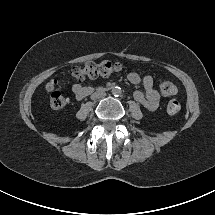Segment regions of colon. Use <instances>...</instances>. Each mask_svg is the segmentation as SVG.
I'll use <instances>...</instances> for the list:
<instances>
[{
    "instance_id": "5ec220e1",
    "label": "colon",
    "mask_w": 215,
    "mask_h": 215,
    "mask_svg": "<svg viewBox=\"0 0 215 215\" xmlns=\"http://www.w3.org/2000/svg\"><path fill=\"white\" fill-rule=\"evenodd\" d=\"M119 63L102 62L88 63L82 67L73 69L72 74L77 80H84L87 77H107L120 71ZM46 89L50 92V105L54 109H61L65 106L66 100L59 90V85L56 80H49L46 84ZM161 93L165 95L175 92V86L168 80H162L159 84ZM180 103L176 99H170L167 103V111L170 114H176L180 111Z\"/></svg>"
}]
</instances>
